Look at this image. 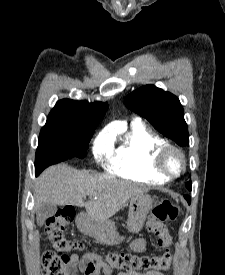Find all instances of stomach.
Here are the masks:
<instances>
[{
    "instance_id": "0dacf381",
    "label": "stomach",
    "mask_w": 225,
    "mask_h": 275,
    "mask_svg": "<svg viewBox=\"0 0 225 275\" xmlns=\"http://www.w3.org/2000/svg\"><path fill=\"white\" fill-rule=\"evenodd\" d=\"M154 207V200L147 194L133 196L130 199L127 228L132 233H139L146 221L148 213ZM82 229L98 242L105 245H118L124 237L121 236L112 222H96L91 218L85 219Z\"/></svg>"
}]
</instances>
